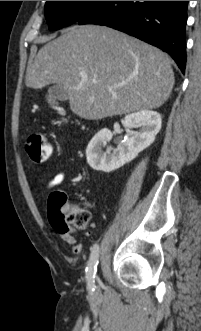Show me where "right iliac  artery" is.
<instances>
[{
  "label": "right iliac artery",
  "instance_id": "82829eb1",
  "mask_svg": "<svg viewBox=\"0 0 201 331\" xmlns=\"http://www.w3.org/2000/svg\"><path fill=\"white\" fill-rule=\"evenodd\" d=\"M98 258H99V246L95 244L91 248L90 258L88 261V265L86 267V278L88 282V287L91 290L95 289V275L98 265Z\"/></svg>",
  "mask_w": 201,
  "mask_h": 331
}]
</instances>
